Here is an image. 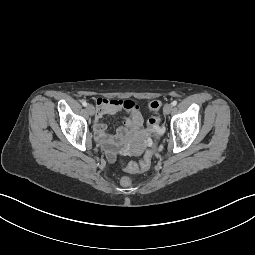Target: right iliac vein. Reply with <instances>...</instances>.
I'll return each instance as SVG.
<instances>
[{"label": "right iliac vein", "mask_w": 255, "mask_h": 255, "mask_svg": "<svg viewBox=\"0 0 255 255\" xmlns=\"http://www.w3.org/2000/svg\"><path fill=\"white\" fill-rule=\"evenodd\" d=\"M86 109H87L88 113H89L91 116L94 115V113H95V108H94L93 105L88 104L87 107H86Z\"/></svg>", "instance_id": "right-iliac-vein-1"}]
</instances>
